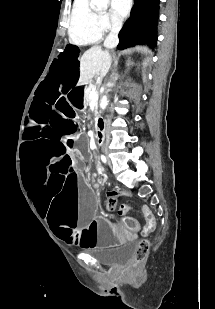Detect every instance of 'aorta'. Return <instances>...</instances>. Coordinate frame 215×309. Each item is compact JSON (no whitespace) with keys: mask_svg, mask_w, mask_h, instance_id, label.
<instances>
[{"mask_svg":"<svg viewBox=\"0 0 215 309\" xmlns=\"http://www.w3.org/2000/svg\"><path fill=\"white\" fill-rule=\"evenodd\" d=\"M109 0H91L90 4H95L96 8H100V10H105L108 6ZM108 104L107 96H102L100 102V108H106Z\"/></svg>","mask_w":215,"mask_h":309,"instance_id":"762f6f07","label":"aorta"}]
</instances>
